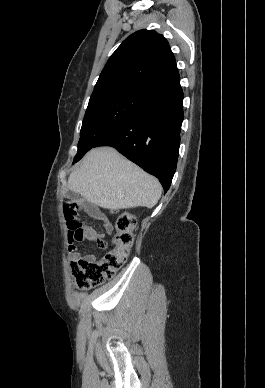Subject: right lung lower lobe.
<instances>
[{
	"mask_svg": "<svg viewBox=\"0 0 265 388\" xmlns=\"http://www.w3.org/2000/svg\"><path fill=\"white\" fill-rule=\"evenodd\" d=\"M184 94L180 82L148 96L139 108L94 147L111 146L156 176L166 193L180 145Z\"/></svg>",
	"mask_w": 265,
	"mask_h": 388,
	"instance_id": "98d812e1",
	"label": "right lung lower lobe"
}]
</instances>
